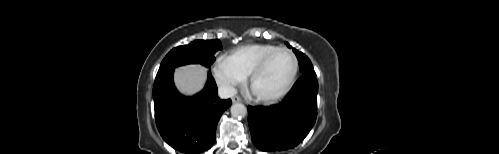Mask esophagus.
Segmentation results:
<instances>
[{
	"label": "esophagus",
	"instance_id": "1",
	"mask_svg": "<svg viewBox=\"0 0 499 154\" xmlns=\"http://www.w3.org/2000/svg\"><path fill=\"white\" fill-rule=\"evenodd\" d=\"M241 101H242V99L240 97H238V96H235V97L232 98V102L233 103H237V102H241Z\"/></svg>",
	"mask_w": 499,
	"mask_h": 154
}]
</instances>
